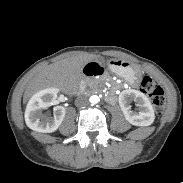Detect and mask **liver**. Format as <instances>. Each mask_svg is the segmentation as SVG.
<instances>
[{
	"label": "liver",
	"instance_id": "1",
	"mask_svg": "<svg viewBox=\"0 0 183 183\" xmlns=\"http://www.w3.org/2000/svg\"><path fill=\"white\" fill-rule=\"evenodd\" d=\"M92 60L88 54L69 57L48 66L28 86L25 98L46 87L75 85L82 76L85 64Z\"/></svg>",
	"mask_w": 183,
	"mask_h": 183
}]
</instances>
